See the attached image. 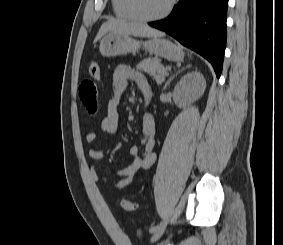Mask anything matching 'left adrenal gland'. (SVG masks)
Listing matches in <instances>:
<instances>
[{"label": "left adrenal gland", "instance_id": "1", "mask_svg": "<svg viewBox=\"0 0 283 245\" xmlns=\"http://www.w3.org/2000/svg\"><path fill=\"white\" fill-rule=\"evenodd\" d=\"M189 67H190V65L187 66L186 68H189ZM186 68H182V69L179 70L176 74L172 75V76L168 79V81L165 83L163 89L165 90V89L167 88V86L170 84V82L174 79V77L177 76L180 72H182V71H183L184 69H186Z\"/></svg>", "mask_w": 283, "mask_h": 245}]
</instances>
